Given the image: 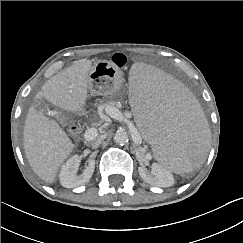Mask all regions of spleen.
Instances as JSON below:
<instances>
[{
	"label": "spleen",
	"instance_id": "1",
	"mask_svg": "<svg viewBox=\"0 0 243 243\" xmlns=\"http://www.w3.org/2000/svg\"><path fill=\"white\" fill-rule=\"evenodd\" d=\"M125 77L130 108L155 158L175 172L198 168L205 158L210 131L190 90L141 61L131 63Z\"/></svg>",
	"mask_w": 243,
	"mask_h": 243
}]
</instances>
